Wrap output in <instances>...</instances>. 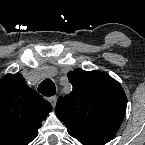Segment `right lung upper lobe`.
Listing matches in <instances>:
<instances>
[{"label":"right lung upper lobe","instance_id":"obj_1","mask_svg":"<svg viewBox=\"0 0 145 145\" xmlns=\"http://www.w3.org/2000/svg\"><path fill=\"white\" fill-rule=\"evenodd\" d=\"M51 110L21 74L5 75L0 79V145H28Z\"/></svg>","mask_w":145,"mask_h":145}]
</instances>
